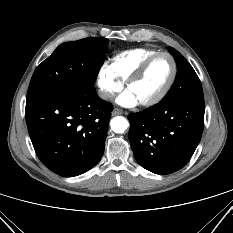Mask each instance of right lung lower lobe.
<instances>
[{
	"instance_id": "right-lung-lower-lobe-1",
	"label": "right lung lower lobe",
	"mask_w": 233,
	"mask_h": 233,
	"mask_svg": "<svg viewBox=\"0 0 233 233\" xmlns=\"http://www.w3.org/2000/svg\"><path fill=\"white\" fill-rule=\"evenodd\" d=\"M112 110L94 86L26 103V123L38 158L63 177L87 172L104 152Z\"/></svg>"
}]
</instances>
